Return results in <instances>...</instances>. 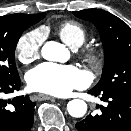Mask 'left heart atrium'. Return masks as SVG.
I'll return each instance as SVG.
<instances>
[{"label":"left heart atrium","mask_w":131,"mask_h":131,"mask_svg":"<svg viewBox=\"0 0 131 131\" xmlns=\"http://www.w3.org/2000/svg\"><path fill=\"white\" fill-rule=\"evenodd\" d=\"M27 83L37 92L65 96L86 85L85 75L74 66L43 63L29 71Z\"/></svg>","instance_id":"39dd6f15"}]
</instances>
